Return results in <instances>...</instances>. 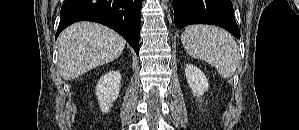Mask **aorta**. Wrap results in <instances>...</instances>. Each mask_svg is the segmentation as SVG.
<instances>
[{"label": "aorta", "mask_w": 299, "mask_h": 130, "mask_svg": "<svg viewBox=\"0 0 299 130\" xmlns=\"http://www.w3.org/2000/svg\"><path fill=\"white\" fill-rule=\"evenodd\" d=\"M163 2H167V0H163Z\"/></svg>", "instance_id": "762f6f07"}]
</instances>
